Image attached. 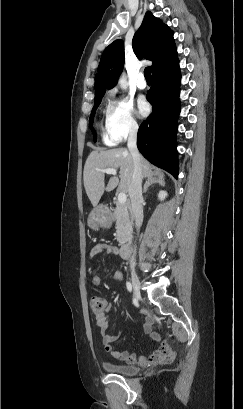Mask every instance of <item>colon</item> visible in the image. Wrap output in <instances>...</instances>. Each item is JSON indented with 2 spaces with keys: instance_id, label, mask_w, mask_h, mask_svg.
Instances as JSON below:
<instances>
[{
  "instance_id": "obj_1",
  "label": "colon",
  "mask_w": 243,
  "mask_h": 409,
  "mask_svg": "<svg viewBox=\"0 0 243 409\" xmlns=\"http://www.w3.org/2000/svg\"><path fill=\"white\" fill-rule=\"evenodd\" d=\"M91 308L94 312H99L104 308V303L101 297H94L91 300Z\"/></svg>"
}]
</instances>
